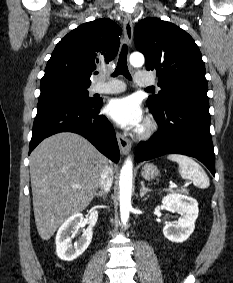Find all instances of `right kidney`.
<instances>
[{"mask_svg":"<svg viewBox=\"0 0 233 283\" xmlns=\"http://www.w3.org/2000/svg\"><path fill=\"white\" fill-rule=\"evenodd\" d=\"M98 212L91 211L88 223L89 226L83 231L81 238L72 244L71 235L79 230L83 225L84 217L81 213H76L69 217L59 228L56 234V253L63 261H73L79 257L90 245L93 231L92 226L97 222Z\"/></svg>","mask_w":233,"mask_h":283,"instance_id":"right-kidney-1","label":"right kidney"}]
</instances>
